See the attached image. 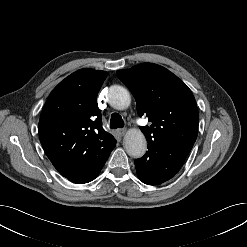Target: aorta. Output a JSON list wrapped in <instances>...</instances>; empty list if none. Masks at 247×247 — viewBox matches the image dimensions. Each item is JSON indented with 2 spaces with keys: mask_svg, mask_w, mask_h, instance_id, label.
<instances>
[{
  "mask_svg": "<svg viewBox=\"0 0 247 247\" xmlns=\"http://www.w3.org/2000/svg\"><path fill=\"white\" fill-rule=\"evenodd\" d=\"M108 100L113 108L125 110L130 106L131 96L126 88L115 85L109 89ZM123 144L127 154L133 158H140L147 151L146 138L138 129L129 130L124 136Z\"/></svg>",
  "mask_w": 247,
  "mask_h": 247,
  "instance_id": "obj_1",
  "label": "aorta"
}]
</instances>
